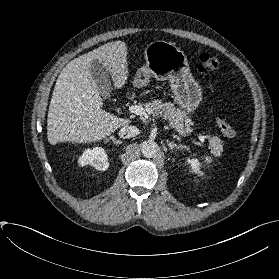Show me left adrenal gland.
<instances>
[{
	"label": "left adrenal gland",
	"mask_w": 279,
	"mask_h": 279,
	"mask_svg": "<svg viewBox=\"0 0 279 279\" xmlns=\"http://www.w3.org/2000/svg\"><path fill=\"white\" fill-rule=\"evenodd\" d=\"M167 145L169 147V149L172 151L174 148L176 149H186L188 150V147L186 145H182V144H176L174 142H170V141H167Z\"/></svg>",
	"instance_id": "1"
}]
</instances>
